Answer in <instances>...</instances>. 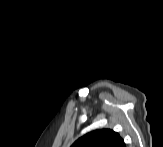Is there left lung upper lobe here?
<instances>
[{"label": "left lung upper lobe", "instance_id": "left-lung-upper-lobe-1", "mask_svg": "<svg viewBox=\"0 0 163 147\" xmlns=\"http://www.w3.org/2000/svg\"><path fill=\"white\" fill-rule=\"evenodd\" d=\"M121 137L110 129H99L79 138L71 147H117Z\"/></svg>", "mask_w": 163, "mask_h": 147}]
</instances>
